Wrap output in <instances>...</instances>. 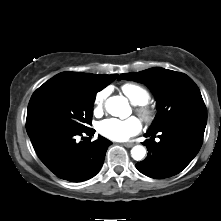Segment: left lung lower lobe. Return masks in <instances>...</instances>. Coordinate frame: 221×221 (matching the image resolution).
<instances>
[{"mask_svg": "<svg viewBox=\"0 0 221 221\" xmlns=\"http://www.w3.org/2000/svg\"><path fill=\"white\" fill-rule=\"evenodd\" d=\"M207 116H187L177 119L167 126L148 131L152 136L143 144L148 156L136 164V168L151 178H167L181 172L197 155L203 143ZM159 134L157 143L153 135Z\"/></svg>", "mask_w": 221, "mask_h": 221, "instance_id": "left-lung-lower-lobe-1", "label": "left lung lower lobe"}]
</instances>
